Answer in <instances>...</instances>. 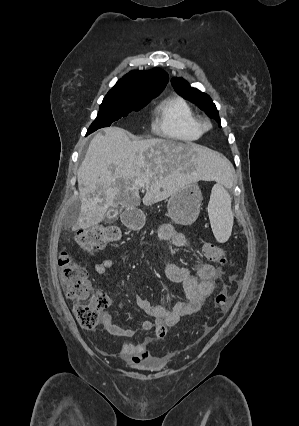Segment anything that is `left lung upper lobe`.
Segmentation results:
<instances>
[{
	"instance_id": "left-lung-upper-lobe-1",
	"label": "left lung upper lobe",
	"mask_w": 299,
	"mask_h": 426,
	"mask_svg": "<svg viewBox=\"0 0 299 426\" xmlns=\"http://www.w3.org/2000/svg\"><path fill=\"white\" fill-rule=\"evenodd\" d=\"M171 83L179 95L198 105L209 117L214 118L221 126L217 108L207 94L189 86L188 82L182 78H173Z\"/></svg>"
}]
</instances>
